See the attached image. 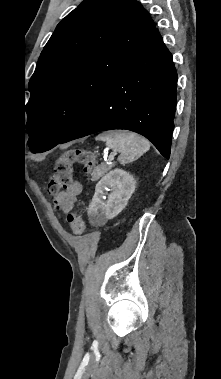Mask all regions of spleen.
<instances>
[{"instance_id": "obj_1", "label": "spleen", "mask_w": 221, "mask_h": 379, "mask_svg": "<svg viewBox=\"0 0 221 379\" xmlns=\"http://www.w3.org/2000/svg\"><path fill=\"white\" fill-rule=\"evenodd\" d=\"M96 140L105 142L108 148L119 152L118 161L125 165L137 160L150 149L148 140L142 136L127 131H109L96 137Z\"/></svg>"}]
</instances>
